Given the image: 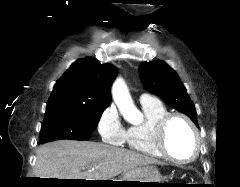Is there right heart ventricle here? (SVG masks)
Instances as JSON below:
<instances>
[{
	"mask_svg": "<svg viewBox=\"0 0 240 187\" xmlns=\"http://www.w3.org/2000/svg\"><path fill=\"white\" fill-rule=\"evenodd\" d=\"M141 105L145 120L128 128L125 143L132 151L154 158H162L155 144V130L159 120L169 112L159 101L141 103Z\"/></svg>",
	"mask_w": 240,
	"mask_h": 187,
	"instance_id": "1",
	"label": "right heart ventricle"
}]
</instances>
